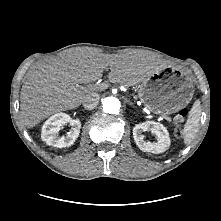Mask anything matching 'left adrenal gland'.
I'll list each match as a JSON object with an SVG mask.
<instances>
[{
  "label": "left adrenal gland",
  "instance_id": "left-adrenal-gland-1",
  "mask_svg": "<svg viewBox=\"0 0 221 221\" xmlns=\"http://www.w3.org/2000/svg\"><path fill=\"white\" fill-rule=\"evenodd\" d=\"M129 103H130L131 105H133V103H131L130 101H129Z\"/></svg>",
  "mask_w": 221,
  "mask_h": 221
}]
</instances>
